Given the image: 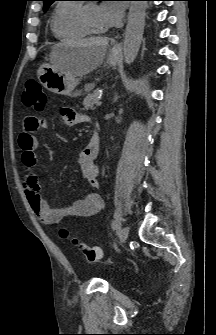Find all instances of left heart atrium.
<instances>
[{"label": "left heart atrium", "mask_w": 216, "mask_h": 335, "mask_svg": "<svg viewBox=\"0 0 216 335\" xmlns=\"http://www.w3.org/2000/svg\"><path fill=\"white\" fill-rule=\"evenodd\" d=\"M99 14L105 29H111L120 25L124 8L120 3L104 1L99 6Z\"/></svg>", "instance_id": "left-heart-atrium-1"}]
</instances>
